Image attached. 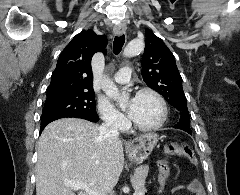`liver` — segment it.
Segmentation results:
<instances>
[{"label": "liver", "mask_w": 240, "mask_h": 195, "mask_svg": "<svg viewBox=\"0 0 240 195\" xmlns=\"http://www.w3.org/2000/svg\"><path fill=\"white\" fill-rule=\"evenodd\" d=\"M99 125L62 117L46 125L39 137L36 195H89L74 193L65 181H84L98 193H110L124 167V139H106ZM138 141V139H136Z\"/></svg>", "instance_id": "1"}]
</instances>
